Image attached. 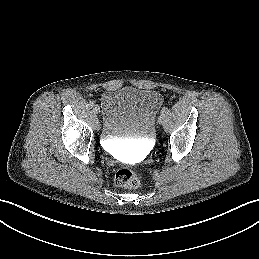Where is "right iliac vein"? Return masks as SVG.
Segmentation results:
<instances>
[{
  "instance_id": "1",
  "label": "right iliac vein",
  "mask_w": 259,
  "mask_h": 259,
  "mask_svg": "<svg viewBox=\"0 0 259 259\" xmlns=\"http://www.w3.org/2000/svg\"><path fill=\"white\" fill-rule=\"evenodd\" d=\"M93 110L96 114H98L100 112V109L97 105L94 106Z\"/></svg>"
}]
</instances>
